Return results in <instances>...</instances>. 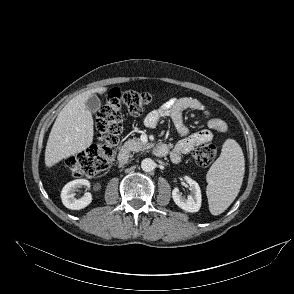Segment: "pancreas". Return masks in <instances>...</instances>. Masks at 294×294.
<instances>
[{
	"label": "pancreas",
	"instance_id": "cf45deb5",
	"mask_svg": "<svg viewBox=\"0 0 294 294\" xmlns=\"http://www.w3.org/2000/svg\"><path fill=\"white\" fill-rule=\"evenodd\" d=\"M147 148H149V144L148 143H145V142H142L137 137H134L132 139H129L123 145V149H125L127 151H134V152L145 150Z\"/></svg>",
	"mask_w": 294,
	"mask_h": 294
}]
</instances>
